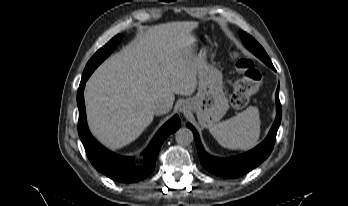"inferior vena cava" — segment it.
<instances>
[{
  "instance_id": "obj_1",
  "label": "inferior vena cava",
  "mask_w": 348,
  "mask_h": 206,
  "mask_svg": "<svg viewBox=\"0 0 348 206\" xmlns=\"http://www.w3.org/2000/svg\"><path fill=\"white\" fill-rule=\"evenodd\" d=\"M153 112L155 115L159 116V115H163V114H166L167 112H169V108L164 104H159L156 107H154Z\"/></svg>"
}]
</instances>
